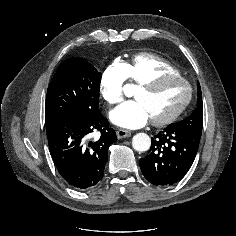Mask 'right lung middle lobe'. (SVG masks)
I'll return each mask as SVG.
<instances>
[{
	"mask_svg": "<svg viewBox=\"0 0 236 236\" xmlns=\"http://www.w3.org/2000/svg\"><path fill=\"white\" fill-rule=\"evenodd\" d=\"M101 73L82 58L65 60L47 89L46 127L74 116H90L99 110Z\"/></svg>",
	"mask_w": 236,
	"mask_h": 236,
	"instance_id": "right-lung-middle-lobe-1",
	"label": "right lung middle lobe"
}]
</instances>
